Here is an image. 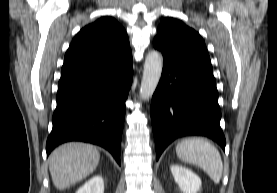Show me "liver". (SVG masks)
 Returning <instances> with one entry per match:
<instances>
[{"label": "liver", "instance_id": "liver-1", "mask_svg": "<svg viewBox=\"0 0 277 193\" xmlns=\"http://www.w3.org/2000/svg\"><path fill=\"white\" fill-rule=\"evenodd\" d=\"M100 153L95 146L70 142L49 156V171L54 186L64 190L90 175L98 166Z\"/></svg>", "mask_w": 277, "mask_h": 193}]
</instances>
